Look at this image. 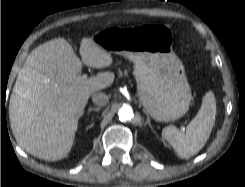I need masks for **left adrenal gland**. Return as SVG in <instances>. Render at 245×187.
Instances as JSON below:
<instances>
[{
    "instance_id": "left-adrenal-gland-1",
    "label": "left adrenal gland",
    "mask_w": 245,
    "mask_h": 187,
    "mask_svg": "<svg viewBox=\"0 0 245 187\" xmlns=\"http://www.w3.org/2000/svg\"><path fill=\"white\" fill-rule=\"evenodd\" d=\"M145 125H149L150 128L152 129V125H151V123H150V118H149V117H147V120H146Z\"/></svg>"
}]
</instances>
